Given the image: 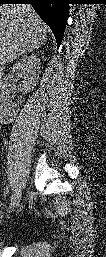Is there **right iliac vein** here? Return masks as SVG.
I'll return each mask as SVG.
<instances>
[{"mask_svg":"<svg viewBox=\"0 0 106 257\" xmlns=\"http://www.w3.org/2000/svg\"><path fill=\"white\" fill-rule=\"evenodd\" d=\"M20 199H21V191L19 190L15 198L13 199V201L10 203L9 212H12L16 207L19 206Z\"/></svg>","mask_w":106,"mask_h":257,"instance_id":"obj_1","label":"right iliac vein"}]
</instances>
